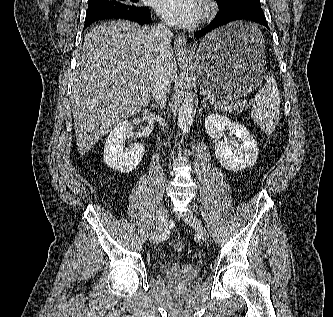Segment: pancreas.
<instances>
[{"mask_svg":"<svg viewBox=\"0 0 333 317\" xmlns=\"http://www.w3.org/2000/svg\"><path fill=\"white\" fill-rule=\"evenodd\" d=\"M217 106L218 109L227 112L243 110L245 108V105H241L239 103H227V102L219 103Z\"/></svg>","mask_w":333,"mask_h":317,"instance_id":"obj_1","label":"pancreas"}]
</instances>
